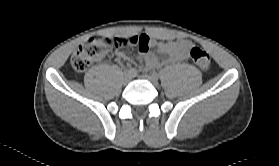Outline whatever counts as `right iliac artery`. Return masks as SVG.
<instances>
[{
  "mask_svg": "<svg viewBox=\"0 0 279 166\" xmlns=\"http://www.w3.org/2000/svg\"><path fill=\"white\" fill-rule=\"evenodd\" d=\"M127 73L131 74L132 76L137 74V70L135 68H130L129 70H127Z\"/></svg>",
  "mask_w": 279,
  "mask_h": 166,
  "instance_id": "right-iliac-artery-1",
  "label": "right iliac artery"
}]
</instances>
